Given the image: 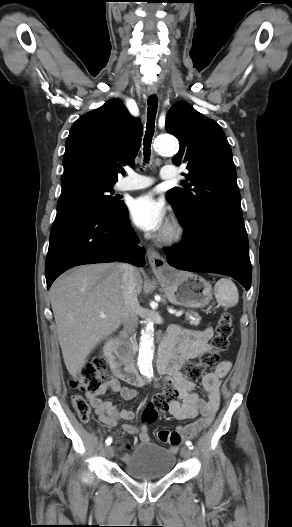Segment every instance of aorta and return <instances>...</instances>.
Instances as JSON below:
<instances>
[{"mask_svg": "<svg viewBox=\"0 0 292 527\" xmlns=\"http://www.w3.org/2000/svg\"><path fill=\"white\" fill-rule=\"evenodd\" d=\"M154 146L159 153H176L178 150V144L175 138L168 135L156 138ZM153 332V322L147 320L146 326L141 333L137 365L141 374L147 377L148 379L153 376L152 361L155 353V342Z\"/></svg>", "mask_w": 292, "mask_h": 527, "instance_id": "762f6f07", "label": "aorta"}]
</instances>
